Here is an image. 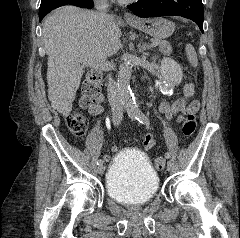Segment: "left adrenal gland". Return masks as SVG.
<instances>
[{
  "label": "left adrenal gland",
  "instance_id": "a2214340",
  "mask_svg": "<svg viewBox=\"0 0 240 238\" xmlns=\"http://www.w3.org/2000/svg\"><path fill=\"white\" fill-rule=\"evenodd\" d=\"M149 48H150V45L145 43L141 46L140 50L143 52V55H148V53H146L145 51Z\"/></svg>",
  "mask_w": 240,
  "mask_h": 238
}]
</instances>
